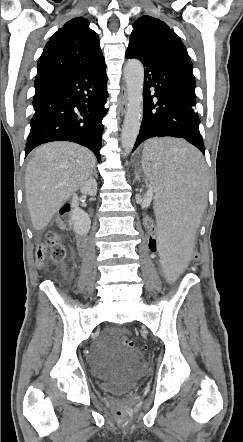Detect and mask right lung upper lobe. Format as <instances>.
<instances>
[{"label": "right lung upper lobe", "instance_id": "1", "mask_svg": "<svg viewBox=\"0 0 243 442\" xmlns=\"http://www.w3.org/2000/svg\"><path fill=\"white\" fill-rule=\"evenodd\" d=\"M83 17L71 19L47 42L38 61L36 79L104 63L99 37Z\"/></svg>", "mask_w": 243, "mask_h": 442}]
</instances>
